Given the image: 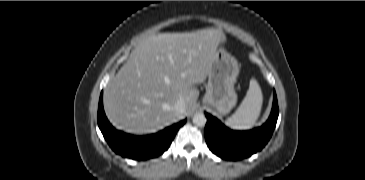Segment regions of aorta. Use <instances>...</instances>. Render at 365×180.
<instances>
[{
	"label": "aorta",
	"instance_id": "aorta-1",
	"mask_svg": "<svg viewBox=\"0 0 365 180\" xmlns=\"http://www.w3.org/2000/svg\"><path fill=\"white\" fill-rule=\"evenodd\" d=\"M207 122V118L203 113H196L193 116V123L197 126H205Z\"/></svg>",
	"mask_w": 365,
	"mask_h": 180
}]
</instances>
